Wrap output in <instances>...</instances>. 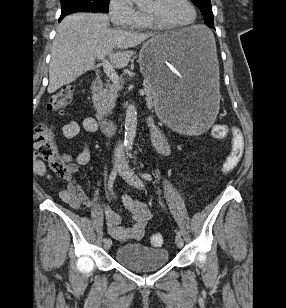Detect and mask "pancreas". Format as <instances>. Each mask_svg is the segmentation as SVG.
I'll use <instances>...</instances> for the list:
<instances>
[{"instance_id": "1", "label": "pancreas", "mask_w": 286, "mask_h": 308, "mask_svg": "<svg viewBox=\"0 0 286 308\" xmlns=\"http://www.w3.org/2000/svg\"><path fill=\"white\" fill-rule=\"evenodd\" d=\"M144 90L146 93V102L149 107L155 106L153 101L155 97L154 90L147 81L144 82ZM120 86L116 84H109L103 90H100L93 96L94 108L97 110V116L108 115L115 106L118 98V91Z\"/></svg>"}]
</instances>
